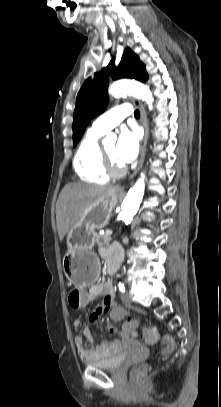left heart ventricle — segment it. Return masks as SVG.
<instances>
[{
    "mask_svg": "<svg viewBox=\"0 0 221 407\" xmlns=\"http://www.w3.org/2000/svg\"><path fill=\"white\" fill-rule=\"evenodd\" d=\"M105 152L108 155V157L116 164V165H120V163L118 162L117 158H116V145L112 144L108 147L105 148Z\"/></svg>",
    "mask_w": 221,
    "mask_h": 407,
    "instance_id": "b2bd125f",
    "label": "left heart ventricle"
}]
</instances>
